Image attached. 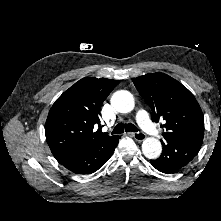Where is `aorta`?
Returning <instances> with one entry per match:
<instances>
[{
  "label": "aorta",
  "instance_id": "1",
  "mask_svg": "<svg viewBox=\"0 0 221 221\" xmlns=\"http://www.w3.org/2000/svg\"><path fill=\"white\" fill-rule=\"evenodd\" d=\"M111 105L120 113H128L134 109V98L126 90L116 91L111 97ZM142 152L148 159H157L161 155L162 145L158 139L148 137L142 143Z\"/></svg>",
  "mask_w": 221,
  "mask_h": 221
}]
</instances>
